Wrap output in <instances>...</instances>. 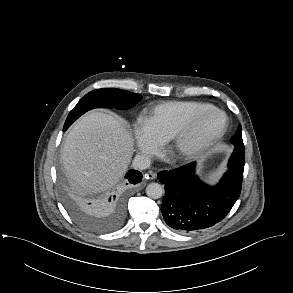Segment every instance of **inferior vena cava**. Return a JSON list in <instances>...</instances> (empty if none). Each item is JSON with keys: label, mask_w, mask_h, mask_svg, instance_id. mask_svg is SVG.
I'll list each match as a JSON object with an SVG mask.
<instances>
[{"label": "inferior vena cava", "mask_w": 293, "mask_h": 293, "mask_svg": "<svg viewBox=\"0 0 293 293\" xmlns=\"http://www.w3.org/2000/svg\"><path fill=\"white\" fill-rule=\"evenodd\" d=\"M151 160L143 154H137L133 161L132 166L136 170H145L150 167Z\"/></svg>", "instance_id": "602c4592"}]
</instances>
